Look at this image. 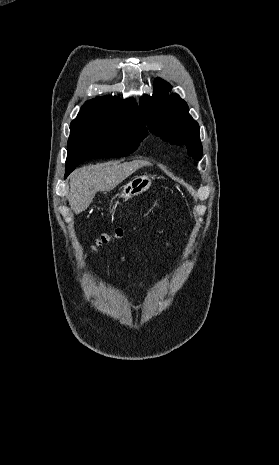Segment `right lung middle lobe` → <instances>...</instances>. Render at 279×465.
<instances>
[{
  "label": "right lung middle lobe",
  "mask_w": 279,
  "mask_h": 465,
  "mask_svg": "<svg viewBox=\"0 0 279 465\" xmlns=\"http://www.w3.org/2000/svg\"><path fill=\"white\" fill-rule=\"evenodd\" d=\"M147 134L132 124H101L71 129L68 140L66 172L92 158L128 156Z\"/></svg>",
  "instance_id": "obj_1"
}]
</instances>
